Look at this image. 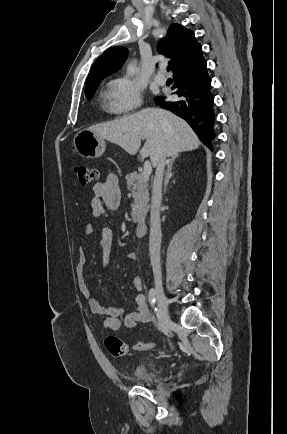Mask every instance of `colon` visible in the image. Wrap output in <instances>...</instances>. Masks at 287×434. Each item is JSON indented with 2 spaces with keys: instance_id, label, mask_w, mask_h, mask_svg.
<instances>
[{
  "instance_id": "colon-1",
  "label": "colon",
  "mask_w": 287,
  "mask_h": 434,
  "mask_svg": "<svg viewBox=\"0 0 287 434\" xmlns=\"http://www.w3.org/2000/svg\"><path fill=\"white\" fill-rule=\"evenodd\" d=\"M74 172L77 181L80 185H89L96 182L99 178V171L97 168L77 165L74 167ZM105 346L108 352L116 358L128 356L133 351H144L153 347L151 342H138L129 344L122 341L116 336H108L105 339Z\"/></svg>"
}]
</instances>
